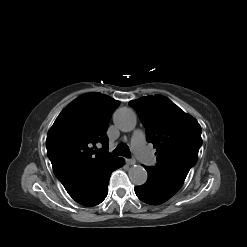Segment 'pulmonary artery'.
I'll return each instance as SVG.
<instances>
[{
	"label": "pulmonary artery",
	"instance_id": "1",
	"mask_svg": "<svg viewBox=\"0 0 247 247\" xmlns=\"http://www.w3.org/2000/svg\"><path fill=\"white\" fill-rule=\"evenodd\" d=\"M132 145L134 152L140 157L146 164L152 165L155 163L154 156L150 153L145 145V134L141 130L134 132L132 137Z\"/></svg>",
	"mask_w": 247,
	"mask_h": 247
}]
</instances>
